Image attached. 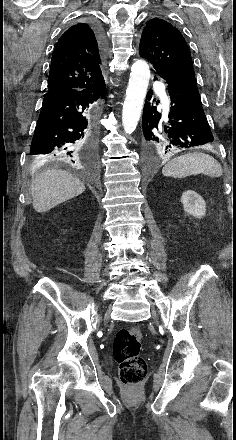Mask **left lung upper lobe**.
Wrapping results in <instances>:
<instances>
[{"mask_svg":"<svg viewBox=\"0 0 236 440\" xmlns=\"http://www.w3.org/2000/svg\"><path fill=\"white\" fill-rule=\"evenodd\" d=\"M139 54L149 60L159 78L177 75L195 76L191 54L181 32L159 18L147 22L143 29Z\"/></svg>","mask_w":236,"mask_h":440,"instance_id":"1","label":"left lung upper lobe"}]
</instances>
